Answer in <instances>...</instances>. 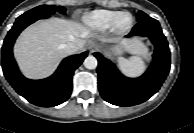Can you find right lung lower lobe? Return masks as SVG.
I'll return each instance as SVG.
<instances>
[{
	"instance_id": "98d812e1",
	"label": "right lung lower lobe",
	"mask_w": 194,
	"mask_h": 133,
	"mask_svg": "<svg viewBox=\"0 0 194 133\" xmlns=\"http://www.w3.org/2000/svg\"><path fill=\"white\" fill-rule=\"evenodd\" d=\"M17 18L8 32L2 46V68L7 81L15 91L34 105L53 107L65 102L72 92V76L76 68L83 62L87 52L65 58L56 72L42 80L25 78L16 65L13 57V44L21 31L38 19Z\"/></svg>"
}]
</instances>
